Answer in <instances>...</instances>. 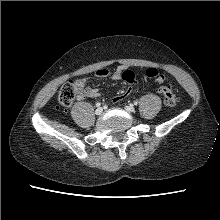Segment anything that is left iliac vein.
<instances>
[{
    "label": "left iliac vein",
    "instance_id": "1",
    "mask_svg": "<svg viewBox=\"0 0 220 220\" xmlns=\"http://www.w3.org/2000/svg\"><path fill=\"white\" fill-rule=\"evenodd\" d=\"M125 109L126 111L131 112V113L135 111V108L133 105H128L125 107Z\"/></svg>",
    "mask_w": 220,
    "mask_h": 220
}]
</instances>
